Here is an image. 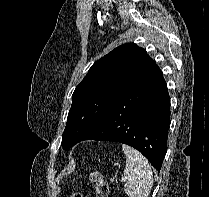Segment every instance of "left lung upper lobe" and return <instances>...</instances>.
Wrapping results in <instances>:
<instances>
[{
    "mask_svg": "<svg viewBox=\"0 0 209 197\" xmlns=\"http://www.w3.org/2000/svg\"><path fill=\"white\" fill-rule=\"evenodd\" d=\"M155 62L135 43L123 44L97 60L75 88L63 149L78 143L123 93L139 82Z\"/></svg>",
    "mask_w": 209,
    "mask_h": 197,
    "instance_id": "obj_1",
    "label": "left lung upper lobe"
}]
</instances>
